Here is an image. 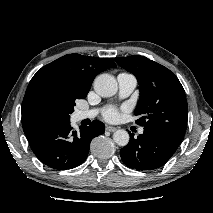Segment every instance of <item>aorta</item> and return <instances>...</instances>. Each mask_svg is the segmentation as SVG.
<instances>
[{
  "label": "aorta",
  "instance_id": "obj_1",
  "mask_svg": "<svg viewBox=\"0 0 213 213\" xmlns=\"http://www.w3.org/2000/svg\"><path fill=\"white\" fill-rule=\"evenodd\" d=\"M94 90L102 97H111L116 94L118 84L116 79L110 74H101L94 80ZM129 133L126 130L120 129L114 132L113 140L119 146H126L129 143Z\"/></svg>",
  "mask_w": 213,
  "mask_h": 213
}]
</instances>
